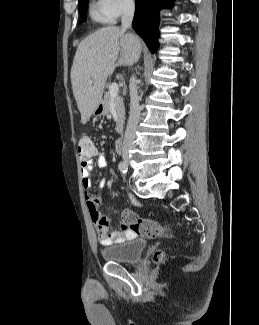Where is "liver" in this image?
<instances>
[{
    "label": "liver",
    "instance_id": "liver-1",
    "mask_svg": "<svg viewBox=\"0 0 259 325\" xmlns=\"http://www.w3.org/2000/svg\"><path fill=\"white\" fill-rule=\"evenodd\" d=\"M141 50L137 36L115 26L101 28L81 41L71 68V84L82 124L102 100L108 76L117 66L136 63Z\"/></svg>",
    "mask_w": 259,
    "mask_h": 325
}]
</instances>
